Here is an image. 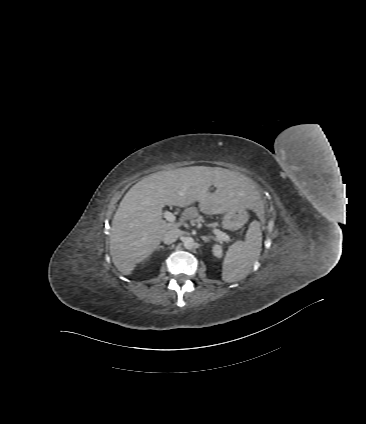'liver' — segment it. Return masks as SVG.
<instances>
[{"label": "liver", "mask_w": 366, "mask_h": 424, "mask_svg": "<svg viewBox=\"0 0 366 424\" xmlns=\"http://www.w3.org/2000/svg\"><path fill=\"white\" fill-rule=\"evenodd\" d=\"M215 186V192L210 191ZM207 215L234 208H249L263 214V201L255 185L244 175L220 167L192 166L157 172L126 193L114 215L110 255L115 267L130 275L150 256L167 231L198 216L194 206ZM164 205L186 207L177 222L163 220Z\"/></svg>", "instance_id": "1"}]
</instances>
